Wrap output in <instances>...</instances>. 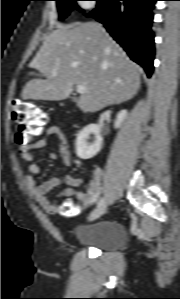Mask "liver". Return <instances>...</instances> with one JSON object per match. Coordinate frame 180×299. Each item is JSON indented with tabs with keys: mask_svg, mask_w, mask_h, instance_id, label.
I'll use <instances>...</instances> for the list:
<instances>
[{
	"mask_svg": "<svg viewBox=\"0 0 180 299\" xmlns=\"http://www.w3.org/2000/svg\"><path fill=\"white\" fill-rule=\"evenodd\" d=\"M29 66L46 79L30 80L23 99L60 101L83 85L86 92L77 100L83 112L128 101L141 84L139 67L95 22L58 25Z\"/></svg>",
	"mask_w": 180,
	"mask_h": 299,
	"instance_id": "1",
	"label": "liver"
}]
</instances>
